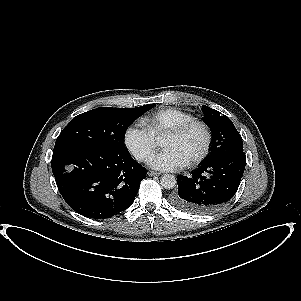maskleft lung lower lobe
<instances>
[{
	"label": "left lung lower lobe",
	"mask_w": 301,
	"mask_h": 301,
	"mask_svg": "<svg viewBox=\"0 0 301 301\" xmlns=\"http://www.w3.org/2000/svg\"><path fill=\"white\" fill-rule=\"evenodd\" d=\"M246 165L243 150H227L204 161L192 177L179 176L170 202L178 209L210 213L227 204L238 190Z\"/></svg>",
	"instance_id": "1"
}]
</instances>
